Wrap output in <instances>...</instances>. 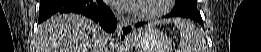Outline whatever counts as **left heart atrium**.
Here are the masks:
<instances>
[{"instance_id": "1", "label": "left heart atrium", "mask_w": 261, "mask_h": 52, "mask_svg": "<svg viewBox=\"0 0 261 52\" xmlns=\"http://www.w3.org/2000/svg\"><path fill=\"white\" fill-rule=\"evenodd\" d=\"M142 2V0H114L113 4L121 7V8H127V9H133L137 5H139Z\"/></svg>"}]
</instances>
